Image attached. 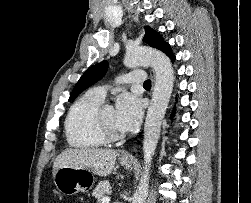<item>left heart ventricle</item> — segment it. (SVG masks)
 I'll return each mask as SVG.
<instances>
[{"mask_svg": "<svg viewBox=\"0 0 251 203\" xmlns=\"http://www.w3.org/2000/svg\"><path fill=\"white\" fill-rule=\"evenodd\" d=\"M103 118L104 121L116 132H120L121 131L118 129V127L116 126V114H115V110L114 109H105L103 110Z\"/></svg>", "mask_w": 251, "mask_h": 203, "instance_id": "left-heart-ventricle-1", "label": "left heart ventricle"}]
</instances>
